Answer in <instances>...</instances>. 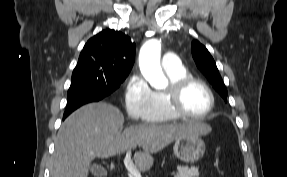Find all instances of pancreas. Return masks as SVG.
Masks as SVG:
<instances>
[{"mask_svg":"<svg viewBox=\"0 0 287 177\" xmlns=\"http://www.w3.org/2000/svg\"><path fill=\"white\" fill-rule=\"evenodd\" d=\"M175 177H199V169L194 166H178Z\"/></svg>","mask_w":287,"mask_h":177,"instance_id":"1","label":"pancreas"}]
</instances>
